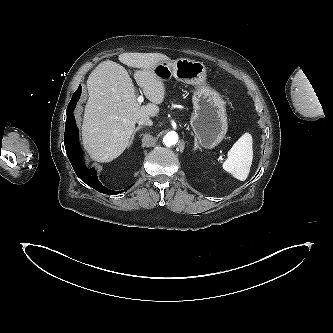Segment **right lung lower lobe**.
Listing matches in <instances>:
<instances>
[{
  "instance_id": "98d812e1",
  "label": "right lung lower lobe",
  "mask_w": 333,
  "mask_h": 333,
  "mask_svg": "<svg viewBox=\"0 0 333 333\" xmlns=\"http://www.w3.org/2000/svg\"><path fill=\"white\" fill-rule=\"evenodd\" d=\"M81 86L73 94L67 108V120L65 124L64 144L67 156L72 164L76 175L87 185L104 194H117L119 192L106 189L98 180L97 173L93 168L88 169L82 160V150L78 142V129L73 115V110L80 98Z\"/></svg>"
}]
</instances>
